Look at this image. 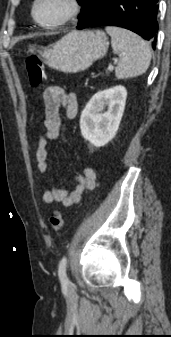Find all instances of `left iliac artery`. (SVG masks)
<instances>
[{"instance_id":"1","label":"left iliac artery","mask_w":171,"mask_h":337,"mask_svg":"<svg viewBox=\"0 0 171 337\" xmlns=\"http://www.w3.org/2000/svg\"><path fill=\"white\" fill-rule=\"evenodd\" d=\"M66 266H67V258L64 256L60 263L58 268V276L62 284H68L69 280L66 275Z\"/></svg>"}]
</instances>
